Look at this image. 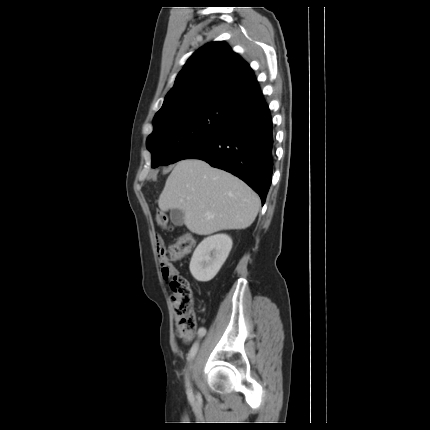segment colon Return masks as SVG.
I'll use <instances>...</instances> for the list:
<instances>
[{"instance_id":"obj_1","label":"colon","mask_w":430,"mask_h":430,"mask_svg":"<svg viewBox=\"0 0 430 430\" xmlns=\"http://www.w3.org/2000/svg\"><path fill=\"white\" fill-rule=\"evenodd\" d=\"M156 222L163 228L169 227L168 217L164 212H157ZM194 239L189 235L180 236L169 246H157V252H164L168 262L186 256L194 247ZM171 301L175 317V328L178 335L185 341L193 339L197 330V317L194 311L193 292L187 279L180 275L172 276L170 282Z\"/></svg>"}]
</instances>
